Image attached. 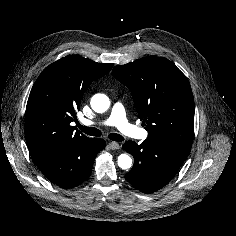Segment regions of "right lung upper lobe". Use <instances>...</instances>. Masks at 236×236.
Returning a JSON list of instances; mask_svg holds the SVG:
<instances>
[{"instance_id":"cb5924a9","label":"right lung upper lobe","mask_w":236,"mask_h":236,"mask_svg":"<svg viewBox=\"0 0 236 236\" xmlns=\"http://www.w3.org/2000/svg\"><path fill=\"white\" fill-rule=\"evenodd\" d=\"M112 67L113 64L69 55L42 71L32 87L25 112V138L34 162L92 139L71 123L77 119L85 90Z\"/></svg>"}]
</instances>
